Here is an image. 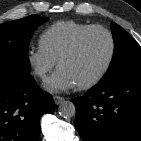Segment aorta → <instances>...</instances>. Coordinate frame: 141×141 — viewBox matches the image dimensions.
<instances>
[{
	"instance_id": "obj_1",
	"label": "aorta",
	"mask_w": 141,
	"mask_h": 141,
	"mask_svg": "<svg viewBox=\"0 0 141 141\" xmlns=\"http://www.w3.org/2000/svg\"><path fill=\"white\" fill-rule=\"evenodd\" d=\"M58 113L63 118H72L76 113L75 105L70 101H64L59 105Z\"/></svg>"
}]
</instances>
